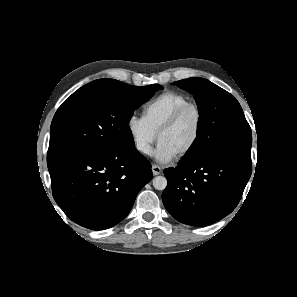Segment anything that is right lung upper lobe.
Segmentation results:
<instances>
[{"label": "right lung upper lobe", "instance_id": "1", "mask_svg": "<svg viewBox=\"0 0 297 297\" xmlns=\"http://www.w3.org/2000/svg\"><path fill=\"white\" fill-rule=\"evenodd\" d=\"M104 79H109V78H104ZM101 80L103 79H98V80H94L88 84H86L85 86L81 87V88H91V87H95L97 85H99V83L101 82Z\"/></svg>", "mask_w": 297, "mask_h": 297}]
</instances>
